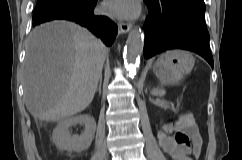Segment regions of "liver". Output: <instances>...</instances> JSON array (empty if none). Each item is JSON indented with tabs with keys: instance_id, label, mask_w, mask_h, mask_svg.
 <instances>
[{
	"instance_id": "6515ba94",
	"label": "liver",
	"mask_w": 242,
	"mask_h": 160,
	"mask_svg": "<svg viewBox=\"0 0 242 160\" xmlns=\"http://www.w3.org/2000/svg\"><path fill=\"white\" fill-rule=\"evenodd\" d=\"M107 54L102 41L75 23L57 21L33 30L23 70L27 110L47 122H61L85 110Z\"/></svg>"
}]
</instances>
